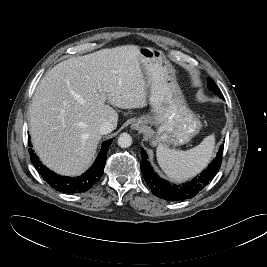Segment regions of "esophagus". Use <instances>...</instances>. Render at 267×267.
<instances>
[{"label":"esophagus","mask_w":267,"mask_h":267,"mask_svg":"<svg viewBox=\"0 0 267 267\" xmlns=\"http://www.w3.org/2000/svg\"><path fill=\"white\" fill-rule=\"evenodd\" d=\"M144 124L141 120H135L132 124H131V129L135 130V131H139L141 132L143 130Z\"/></svg>","instance_id":"obj_1"}]
</instances>
